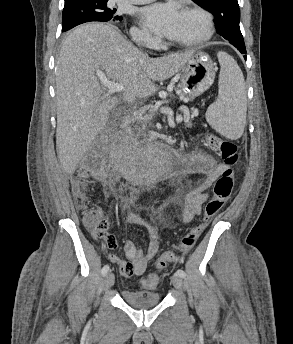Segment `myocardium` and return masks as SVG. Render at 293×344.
I'll use <instances>...</instances> for the list:
<instances>
[{"label": "myocardium", "instance_id": "obj_1", "mask_svg": "<svg viewBox=\"0 0 293 344\" xmlns=\"http://www.w3.org/2000/svg\"><path fill=\"white\" fill-rule=\"evenodd\" d=\"M182 12L199 15L203 21V32L198 37L190 40L170 41V45L175 47L190 48L202 45L212 38L214 34V20L209 11L198 5H190L185 7Z\"/></svg>", "mask_w": 293, "mask_h": 344}]
</instances>
